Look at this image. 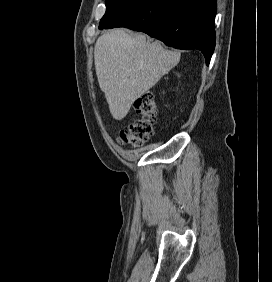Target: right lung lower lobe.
<instances>
[{
	"mask_svg": "<svg viewBox=\"0 0 272 282\" xmlns=\"http://www.w3.org/2000/svg\"><path fill=\"white\" fill-rule=\"evenodd\" d=\"M216 11V0H136L102 29L126 27L170 47L200 50L208 65L215 48Z\"/></svg>",
	"mask_w": 272,
	"mask_h": 282,
	"instance_id": "right-lung-lower-lobe-1",
	"label": "right lung lower lobe"
}]
</instances>
